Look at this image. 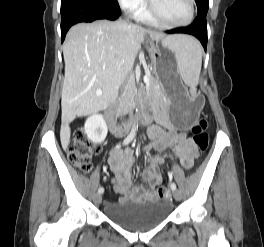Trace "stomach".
<instances>
[{
  "instance_id": "0dacf381",
  "label": "stomach",
  "mask_w": 264,
  "mask_h": 247,
  "mask_svg": "<svg viewBox=\"0 0 264 247\" xmlns=\"http://www.w3.org/2000/svg\"><path fill=\"white\" fill-rule=\"evenodd\" d=\"M170 46L171 42L162 40V44H151L149 51L156 78L165 92L174 98L173 102L180 103V108L169 109L170 113H174V122L179 123L177 131H190L194 127L193 123H197V118H201L203 95L193 94V103H189L188 94L180 87L182 79L177 76L179 74L177 63H171L177 62V57L175 53H169Z\"/></svg>"
}]
</instances>
